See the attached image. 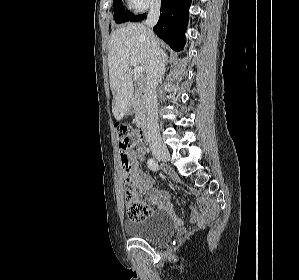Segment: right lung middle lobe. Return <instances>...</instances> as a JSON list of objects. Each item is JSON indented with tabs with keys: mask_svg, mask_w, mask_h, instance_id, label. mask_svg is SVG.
Returning a JSON list of instances; mask_svg holds the SVG:
<instances>
[{
	"mask_svg": "<svg viewBox=\"0 0 299 280\" xmlns=\"http://www.w3.org/2000/svg\"><path fill=\"white\" fill-rule=\"evenodd\" d=\"M113 9L116 23L127 22L134 16V14L124 9L122 0H113Z\"/></svg>",
	"mask_w": 299,
	"mask_h": 280,
	"instance_id": "dd1d6c3e",
	"label": "right lung middle lobe"
}]
</instances>
